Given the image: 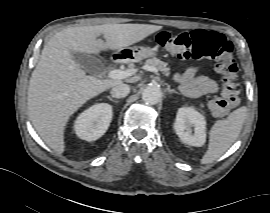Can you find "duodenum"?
Returning a JSON list of instances; mask_svg holds the SVG:
<instances>
[{
    "label": "duodenum",
    "instance_id": "1",
    "mask_svg": "<svg viewBox=\"0 0 270 213\" xmlns=\"http://www.w3.org/2000/svg\"><path fill=\"white\" fill-rule=\"evenodd\" d=\"M124 59V57L122 55H116L114 60L115 62H121Z\"/></svg>",
    "mask_w": 270,
    "mask_h": 213
}]
</instances>
